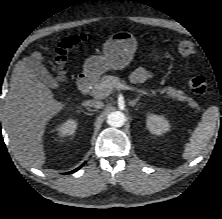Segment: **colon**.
<instances>
[{
  "label": "colon",
  "instance_id": "colon-1",
  "mask_svg": "<svg viewBox=\"0 0 222 219\" xmlns=\"http://www.w3.org/2000/svg\"><path fill=\"white\" fill-rule=\"evenodd\" d=\"M92 41V37L86 34H76V35H70L65 38H63L56 50H55V56L53 59V70L55 73V77L58 81H63L66 76V60H67V52L83 43H89ZM177 48L178 51L186 57L192 56L195 53L194 45L191 41L188 40H179L177 42ZM189 87L192 90L193 93L198 95H203L207 91V81L203 76L197 75L193 76L189 80Z\"/></svg>",
  "mask_w": 222,
  "mask_h": 219
}]
</instances>
